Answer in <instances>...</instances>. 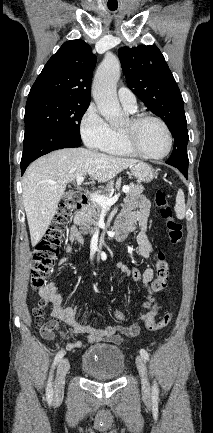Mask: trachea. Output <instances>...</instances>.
<instances>
[{"instance_id":"1","label":"trachea","mask_w":213,"mask_h":433,"mask_svg":"<svg viewBox=\"0 0 213 433\" xmlns=\"http://www.w3.org/2000/svg\"><path fill=\"white\" fill-rule=\"evenodd\" d=\"M109 9H110L111 11H114V10H116V8H111V7H109Z\"/></svg>"}]
</instances>
